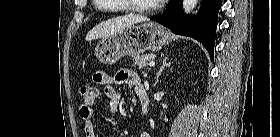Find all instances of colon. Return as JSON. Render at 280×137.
<instances>
[{"instance_id":"5ec220e1","label":"colon","mask_w":280,"mask_h":137,"mask_svg":"<svg viewBox=\"0 0 280 137\" xmlns=\"http://www.w3.org/2000/svg\"><path fill=\"white\" fill-rule=\"evenodd\" d=\"M80 98L87 104H93L97 101L99 92L94 86L84 85L79 89Z\"/></svg>"}]
</instances>
